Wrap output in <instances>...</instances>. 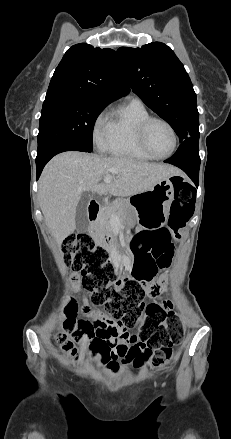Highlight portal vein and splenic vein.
I'll return each mask as SVG.
<instances>
[{"label":"portal vein and splenic vein","instance_id":"1","mask_svg":"<svg viewBox=\"0 0 231 439\" xmlns=\"http://www.w3.org/2000/svg\"><path fill=\"white\" fill-rule=\"evenodd\" d=\"M112 181V177L111 176H106L105 178H104V182L105 183H110Z\"/></svg>","mask_w":231,"mask_h":439}]
</instances>
